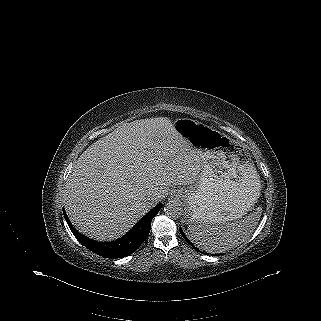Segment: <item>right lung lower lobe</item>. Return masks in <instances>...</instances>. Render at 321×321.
<instances>
[{
  "label": "right lung lower lobe",
  "mask_w": 321,
  "mask_h": 321,
  "mask_svg": "<svg viewBox=\"0 0 321 321\" xmlns=\"http://www.w3.org/2000/svg\"><path fill=\"white\" fill-rule=\"evenodd\" d=\"M161 207V203L155 206L127 234L111 242H98L80 234L72 226L65 210H63V213L72 233L83 246L105 258H122L136 251L147 239L151 228V221Z\"/></svg>",
  "instance_id": "obj_1"
}]
</instances>
